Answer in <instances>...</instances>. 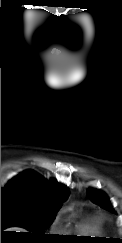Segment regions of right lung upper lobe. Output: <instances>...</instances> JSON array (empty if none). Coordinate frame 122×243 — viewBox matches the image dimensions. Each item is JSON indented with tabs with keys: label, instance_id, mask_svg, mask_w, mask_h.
<instances>
[{
	"label": "right lung upper lobe",
	"instance_id": "cb5924a9",
	"mask_svg": "<svg viewBox=\"0 0 122 243\" xmlns=\"http://www.w3.org/2000/svg\"><path fill=\"white\" fill-rule=\"evenodd\" d=\"M68 195L65 185L47 181L33 171L19 174L1 188V199H19L44 207L61 206Z\"/></svg>",
	"mask_w": 122,
	"mask_h": 243
}]
</instances>
